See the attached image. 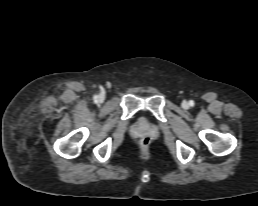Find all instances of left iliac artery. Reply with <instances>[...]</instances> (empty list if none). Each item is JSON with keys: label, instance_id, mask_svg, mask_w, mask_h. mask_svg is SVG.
<instances>
[{"label": "left iliac artery", "instance_id": "44dca946", "mask_svg": "<svg viewBox=\"0 0 258 206\" xmlns=\"http://www.w3.org/2000/svg\"><path fill=\"white\" fill-rule=\"evenodd\" d=\"M191 105H193V101H191Z\"/></svg>", "mask_w": 258, "mask_h": 206}]
</instances>
